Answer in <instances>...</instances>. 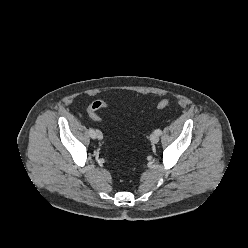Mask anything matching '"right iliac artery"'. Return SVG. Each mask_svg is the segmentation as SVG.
Returning <instances> with one entry per match:
<instances>
[{
    "label": "right iliac artery",
    "mask_w": 248,
    "mask_h": 248,
    "mask_svg": "<svg viewBox=\"0 0 248 248\" xmlns=\"http://www.w3.org/2000/svg\"><path fill=\"white\" fill-rule=\"evenodd\" d=\"M89 134L92 138H95V131L92 128H89Z\"/></svg>",
    "instance_id": "right-iliac-artery-1"
}]
</instances>
